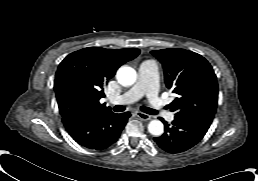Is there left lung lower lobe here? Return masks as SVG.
Segmentation results:
<instances>
[{"label": "left lung lower lobe", "instance_id": "left-lung-lower-lobe-1", "mask_svg": "<svg viewBox=\"0 0 258 181\" xmlns=\"http://www.w3.org/2000/svg\"><path fill=\"white\" fill-rule=\"evenodd\" d=\"M165 125V133L155 137L156 144L168 153H180L196 145L206 134L211 122L194 118L175 116L172 125Z\"/></svg>", "mask_w": 258, "mask_h": 181}]
</instances>
